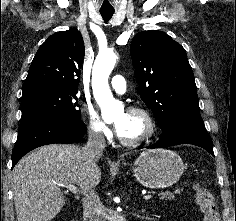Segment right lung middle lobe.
Instances as JSON below:
<instances>
[{
	"label": "right lung middle lobe",
	"mask_w": 236,
	"mask_h": 221,
	"mask_svg": "<svg viewBox=\"0 0 236 221\" xmlns=\"http://www.w3.org/2000/svg\"><path fill=\"white\" fill-rule=\"evenodd\" d=\"M77 92L37 90L22 94L21 119L38 115H52L81 121Z\"/></svg>",
	"instance_id": "1"
}]
</instances>
